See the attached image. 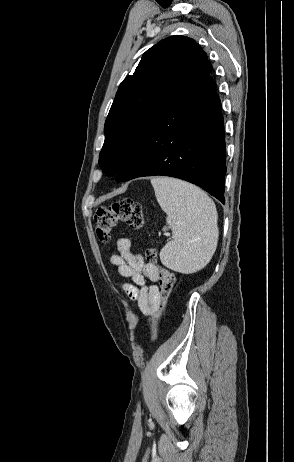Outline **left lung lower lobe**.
I'll return each mask as SVG.
<instances>
[{"mask_svg":"<svg viewBox=\"0 0 294 462\" xmlns=\"http://www.w3.org/2000/svg\"><path fill=\"white\" fill-rule=\"evenodd\" d=\"M221 102L211 76L189 83L160 110L124 160L116 181L163 175L196 184L223 204L226 173Z\"/></svg>","mask_w":294,"mask_h":462,"instance_id":"1","label":"left lung lower lobe"}]
</instances>
